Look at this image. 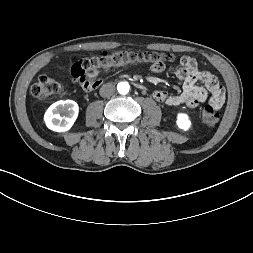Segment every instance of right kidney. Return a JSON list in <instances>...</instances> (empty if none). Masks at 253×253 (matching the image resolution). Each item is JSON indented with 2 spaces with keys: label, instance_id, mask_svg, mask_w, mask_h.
I'll return each instance as SVG.
<instances>
[{
  "label": "right kidney",
  "instance_id": "obj_1",
  "mask_svg": "<svg viewBox=\"0 0 253 253\" xmlns=\"http://www.w3.org/2000/svg\"><path fill=\"white\" fill-rule=\"evenodd\" d=\"M79 107L73 100H60L53 103L44 115L46 126L56 132L68 131L78 116Z\"/></svg>",
  "mask_w": 253,
  "mask_h": 253
}]
</instances>
